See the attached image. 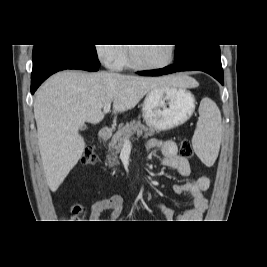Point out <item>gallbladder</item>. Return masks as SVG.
Listing matches in <instances>:
<instances>
[{
	"label": "gallbladder",
	"instance_id": "gallbladder-1",
	"mask_svg": "<svg viewBox=\"0 0 267 267\" xmlns=\"http://www.w3.org/2000/svg\"><path fill=\"white\" fill-rule=\"evenodd\" d=\"M86 128V125L81 126V130H85Z\"/></svg>",
	"mask_w": 267,
	"mask_h": 267
}]
</instances>
